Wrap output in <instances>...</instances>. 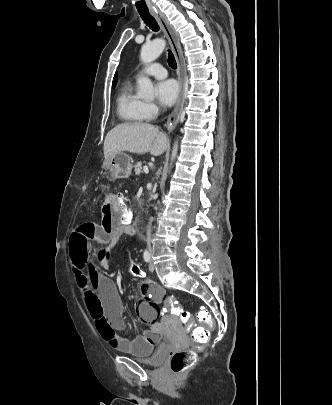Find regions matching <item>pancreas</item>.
Listing matches in <instances>:
<instances>
[{
  "label": "pancreas",
  "mask_w": 332,
  "mask_h": 405,
  "mask_svg": "<svg viewBox=\"0 0 332 405\" xmlns=\"http://www.w3.org/2000/svg\"><path fill=\"white\" fill-rule=\"evenodd\" d=\"M134 171H135L136 175H140L142 173V163L141 162H137V164L135 165Z\"/></svg>",
  "instance_id": "cf45deb5"
}]
</instances>
